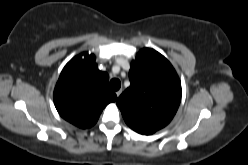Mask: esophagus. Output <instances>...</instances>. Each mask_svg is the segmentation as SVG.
Listing matches in <instances>:
<instances>
[{
  "mask_svg": "<svg viewBox=\"0 0 248 165\" xmlns=\"http://www.w3.org/2000/svg\"><path fill=\"white\" fill-rule=\"evenodd\" d=\"M121 93H122V89H120V90L116 91V95H117V97H119V96L121 95Z\"/></svg>",
  "mask_w": 248,
  "mask_h": 165,
  "instance_id": "34e87169",
  "label": "esophagus"
}]
</instances>
